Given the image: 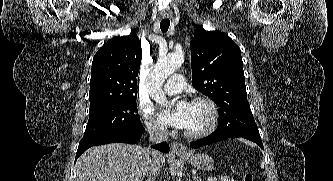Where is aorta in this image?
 <instances>
[{
  "instance_id": "762f6f07",
  "label": "aorta",
  "mask_w": 333,
  "mask_h": 181,
  "mask_svg": "<svg viewBox=\"0 0 333 181\" xmlns=\"http://www.w3.org/2000/svg\"><path fill=\"white\" fill-rule=\"evenodd\" d=\"M184 54L182 51L175 52L165 58L159 59L149 75L150 92L152 99L162 105L168 104L167 97L162 91L166 79L174 73L183 63ZM181 181V180H178Z\"/></svg>"
}]
</instances>
